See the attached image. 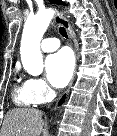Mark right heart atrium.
<instances>
[{"label": "right heart atrium", "mask_w": 117, "mask_h": 136, "mask_svg": "<svg viewBox=\"0 0 117 136\" xmlns=\"http://www.w3.org/2000/svg\"><path fill=\"white\" fill-rule=\"evenodd\" d=\"M27 85L36 104H43L49 101L53 95V91L43 79H29Z\"/></svg>", "instance_id": "obj_1"}]
</instances>
